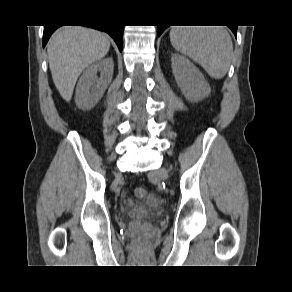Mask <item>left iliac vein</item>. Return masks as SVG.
<instances>
[{"label": "left iliac vein", "instance_id": "obj_1", "mask_svg": "<svg viewBox=\"0 0 292 292\" xmlns=\"http://www.w3.org/2000/svg\"><path fill=\"white\" fill-rule=\"evenodd\" d=\"M154 176L166 180L168 178V172L165 169H159L154 173Z\"/></svg>", "mask_w": 292, "mask_h": 292}]
</instances>
